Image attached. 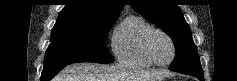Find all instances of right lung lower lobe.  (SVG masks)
<instances>
[{"label":"right lung lower lobe","mask_w":237,"mask_h":81,"mask_svg":"<svg viewBox=\"0 0 237 81\" xmlns=\"http://www.w3.org/2000/svg\"><path fill=\"white\" fill-rule=\"evenodd\" d=\"M71 63L54 64L50 66H44L41 75V81H50L59 71Z\"/></svg>","instance_id":"1"}]
</instances>
